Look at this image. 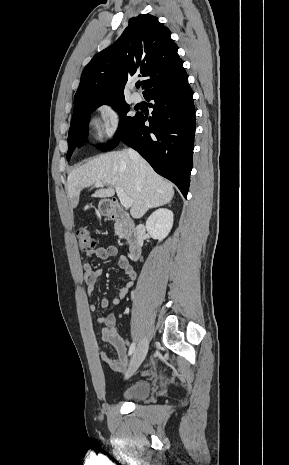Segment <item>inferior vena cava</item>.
<instances>
[{"instance_id":"obj_1","label":"inferior vena cava","mask_w":289,"mask_h":465,"mask_svg":"<svg viewBox=\"0 0 289 465\" xmlns=\"http://www.w3.org/2000/svg\"><path fill=\"white\" fill-rule=\"evenodd\" d=\"M128 154L134 164L135 167H138L142 164V158L141 156L133 149L129 148L128 149Z\"/></svg>"}]
</instances>
